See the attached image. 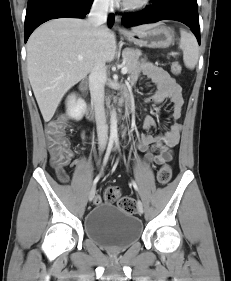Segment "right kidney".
Wrapping results in <instances>:
<instances>
[{"mask_svg": "<svg viewBox=\"0 0 231 281\" xmlns=\"http://www.w3.org/2000/svg\"><path fill=\"white\" fill-rule=\"evenodd\" d=\"M67 113L76 120H80L86 111V103L82 99H76V95L72 94L67 99Z\"/></svg>", "mask_w": 231, "mask_h": 281, "instance_id": "ca27d5eb", "label": "right kidney"}]
</instances>
